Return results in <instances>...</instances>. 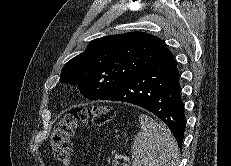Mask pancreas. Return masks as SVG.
Returning a JSON list of instances; mask_svg holds the SVG:
<instances>
[{"label":"pancreas","instance_id":"cf45deb5","mask_svg":"<svg viewBox=\"0 0 231 166\" xmlns=\"http://www.w3.org/2000/svg\"><path fill=\"white\" fill-rule=\"evenodd\" d=\"M118 165V163L115 161L114 163H113V166H117Z\"/></svg>","mask_w":231,"mask_h":166}]
</instances>
